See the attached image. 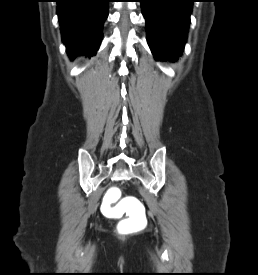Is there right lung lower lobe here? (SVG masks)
Here are the masks:
<instances>
[{
  "mask_svg": "<svg viewBox=\"0 0 258 275\" xmlns=\"http://www.w3.org/2000/svg\"><path fill=\"white\" fill-rule=\"evenodd\" d=\"M63 42L69 56L95 54L108 16L109 0H56Z\"/></svg>",
  "mask_w": 258,
  "mask_h": 275,
  "instance_id": "right-lung-lower-lobe-1",
  "label": "right lung lower lobe"
}]
</instances>
